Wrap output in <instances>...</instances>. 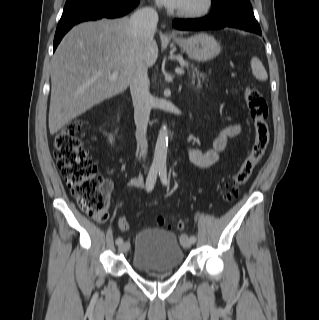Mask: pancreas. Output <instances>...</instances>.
<instances>
[{"label": "pancreas", "mask_w": 319, "mask_h": 320, "mask_svg": "<svg viewBox=\"0 0 319 320\" xmlns=\"http://www.w3.org/2000/svg\"><path fill=\"white\" fill-rule=\"evenodd\" d=\"M182 65L186 67L188 70L191 69L189 71V74H191L193 78L197 77L199 83L201 81H204L207 78L206 74L203 72H200L198 68L194 66V64L188 61H182Z\"/></svg>", "instance_id": "pancreas-1"}]
</instances>
